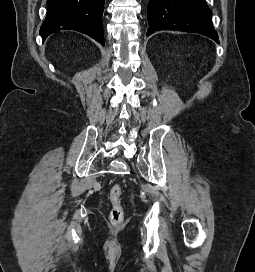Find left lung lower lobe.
Segmentation results:
<instances>
[{"mask_svg":"<svg viewBox=\"0 0 255 272\" xmlns=\"http://www.w3.org/2000/svg\"><path fill=\"white\" fill-rule=\"evenodd\" d=\"M146 36L160 30L199 33L219 43L205 0H149Z\"/></svg>","mask_w":255,"mask_h":272,"instance_id":"1","label":"left lung lower lobe"}]
</instances>
